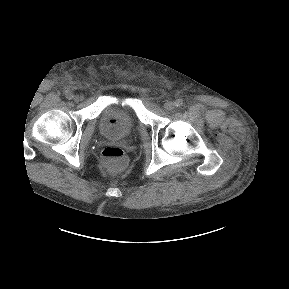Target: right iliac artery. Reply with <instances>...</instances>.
<instances>
[{"instance_id":"right-iliac-artery-1","label":"right iliac artery","mask_w":289,"mask_h":289,"mask_svg":"<svg viewBox=\"0 0 289 289\" xmlns=\"http://www.w3.org/2000/svg\"><path fill=\"white\" fill-rule=\"evenodd\" d=\"M66 98L69 99V100L72 99L73 98V94L70 93V92H67L66 93Z\"/></svg>"}]
</instances>
